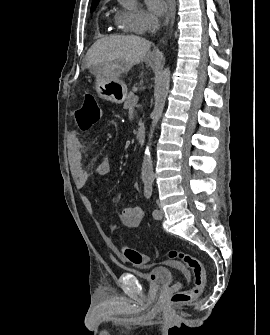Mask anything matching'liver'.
Here are the masks:
<instances>
[{"instance_id":"obj_1","label":"liver","mask_w":270,"mask_h":335,"mask_svg":"<svg viewBox=\"0 0 270 335\" xmlns=\"http://www.w3.org/2000/svg\"><path fill=\"white\" fill-rule=\"evenodd\" d=\"M150 48L151 42L140 36H106L89 48L86 64L93 72L104 70L118 80L120 74H127L132 66L144 62Z\"/></svg>"}]
</instances>
